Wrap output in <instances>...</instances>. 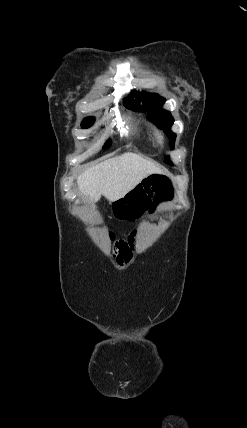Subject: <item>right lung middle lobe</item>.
I'll use <instances>...</instances> for the list:
<instances>
[{
  "label": "right lung middle lobe",
  "mask_w": 247,
  "mask_h": 428,
  "mask_svg": "<svg viewBox=\"0 0 247 428\" xmlns=\"http://www.w3.org/2000/svg\"><path fill=\"white\" fill-rule=\"evenodd\" d=\"M94 123V118L92 117H88L86 119L83 120L82 122V127L83 128H88L90 127L92 124ZM111 145V140H108L105 145L104 148H108Z\"/></svg>",
  "instance_id": "obj_1"
}]
</instances>
